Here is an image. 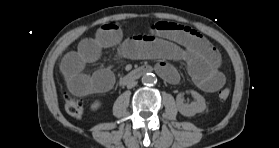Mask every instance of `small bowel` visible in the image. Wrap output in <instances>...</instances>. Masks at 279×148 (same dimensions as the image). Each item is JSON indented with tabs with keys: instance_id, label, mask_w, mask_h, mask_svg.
I'll use <instances>...</instances> for the list:
<instances>
[{
	"instance_id": "obj_1",
	"label": "small bowel",
	"mask_w": 279,
	"mask_h": 148,
	"mask_svg": "<svg viewBox=\"0 0 279 148\" xmlns=\"http://www.w3.org/2000/svg\"><path fill=\"white\" fill-rule=\"evenodd\" d=\"M115 46L122 58L157 59L156 71L169 83L175 84L180 78L169 61L183 62L195 85L205 92H216L225 83L217 49L195 29L159 21L151 26L149 33L124 39L121 28L108 23L94 37L83 39L77 49L61 60V72L73 94L101 93L113 86L115 77L110 70L102 69L92 75L84 70L100 58L103 49Z\"/></svg>"
}]
</instances>
